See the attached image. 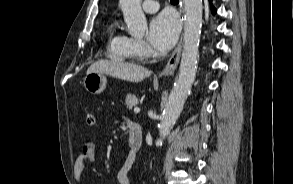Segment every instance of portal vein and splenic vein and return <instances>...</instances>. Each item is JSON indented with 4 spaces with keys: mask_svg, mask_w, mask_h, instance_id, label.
I'll return each mask as SVG.
<instances>
[{
    "mask_svg": "<svg viewBox=\"0 0 293 184\" xmlns=\"http://www.w3.org/2000/svg\"><path fill=\"white\" fill-rule=\"evenodd\" d=\"M134 112L135 113H139L140 112V109L138 107L134 108Z\"/></svg>",
    "mask_w": 293,
    "mask_h": 184,
    "instance_id": "obj_1",
    "label": "portal vein and splenic vein"
}]
</instances>
